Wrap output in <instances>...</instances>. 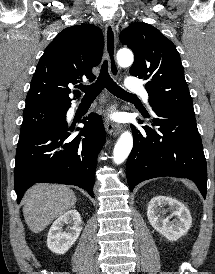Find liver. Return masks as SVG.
Listing matches in <instances>:
<instances>
[{
    "label": "liver",
    "mask_w": 215,
    "mask_h": 274,
    "mask_svg": "<svg viewBox=\"0 0 215 274\" xmlns=\"http://www.w3.org/2000/svg\"><path fill=\"white\" fill-rule=\"evenodd\" d=\"M23 203L27 226L34 233H39L57 217L74 207L76 196L64 185L36 184L26 192Z\"/></svg>",
    "instance_id": "1"
}]
</instances>
